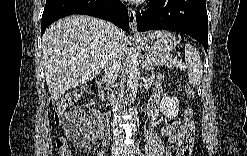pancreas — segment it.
Wrapping results in <instances>:
<instances>
[{"mask_svg": "<svg viewBox=\"0 0 247 156\" xmlns=\"http://www.w3.org/2000/svg\"><path fill=\"white\" fill-rule=\"evenodd\" d=\"M146 59L151 65H166L170 67V65L173 63V59L169 54L167 55L148 54L146 55Z\"/></svg>", "mask_w": 247, "mask_h": 156, "instance_id": "1", "label": "pancreas"}]
</instances>
